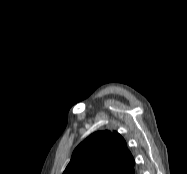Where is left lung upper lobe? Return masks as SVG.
<instances>
[{
    "instance_id": "left-lung-upper-lobe-1",
    "label": "left lung upper lobe",
    "mask_w": 187,
    "mask_h": 174,
    "mask_svg": "<svg viewBox=\"0 0 187 174\" xmlns=\"http://www.w3.org/2000/svg\"><path fill=\"white\" fill-rule=\"evenodd\" d=\"M134 165L120 134L100 131L77 146L63 174H134Z\"/></svg>"
}]
</instances>
